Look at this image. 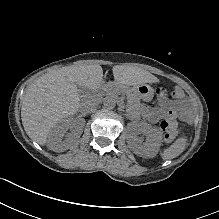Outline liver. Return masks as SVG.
I'll use <instances>...</instances> for the list:
<instances>
[{
  "label": "liver",
  "mask_w": 219,
  "mask_h": 219,
  "mask_svg": "<svg viewBox=\"0 0 219 219\" xmlns=\"http://www.w3.org/2000/svg\"><path fill=\"white\" fill-rule=\"evenodd\" d=\"M115 82L120 84L140 85L151 82L152 75L139 68L115 66ZM103 69L100 65L67 66L41 75L26 88L22 103V124L28 136L44 144L51 130L62 120L73 117L86 104L93 105L96 98L93 90L106 85ZM80 88L89 91L81 97Z\"/></svg>",
  "instance_id": "1"
}]
</instances>
